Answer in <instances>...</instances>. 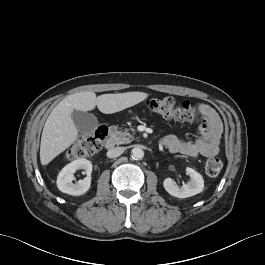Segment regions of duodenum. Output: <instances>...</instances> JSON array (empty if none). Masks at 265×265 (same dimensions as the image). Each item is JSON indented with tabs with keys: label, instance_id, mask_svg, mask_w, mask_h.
I'll return each instance as SVG.
<instances>
[{
	"label": "duodenum",
	"instance_id": "410a0bca",
	"mask_svg": "<svg viewBox=\"0 0 265 265\" xmlns=\"http://www.w3.org/2000/svg\"><path fill=\"white\" fill-rule=\"evenodd\" d=\"M105 148L108 149V150H111L115 147L116 145V140L113 136H110L106 139L105 141Z\"/></svg>",
	"mask_w": 265,
	"mask_h": 265
}]
</instances>
